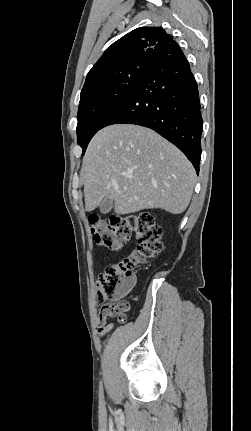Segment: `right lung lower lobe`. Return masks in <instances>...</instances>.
<instances>
[{"label":"right lung lower lobe","mask_w":251,"mask_h":431,"mask_svg":"<svg viewBox=\"0 0 251 431\" xmlns=\"http://www.w3.org/2000/svg\"><path fill=\"white\" fill-rule=\"evenodd\" d=\"M112 124L153 129L177 146L199 173L201 106L197 82L181 49L150 56L140 82L103 127Z\"/></svg>","instance_id":"98d812e1"}]
</instances>
